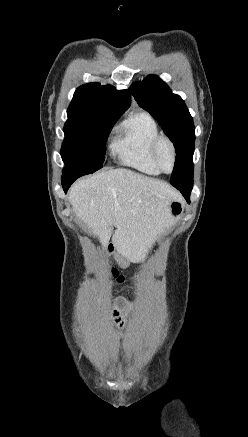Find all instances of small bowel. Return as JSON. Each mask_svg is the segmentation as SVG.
<instances>
[{
    "label": "small bowel",
    "instance_id": "1",
    "mask_svg": "<svg viewBox=\"0 0 248 437\" xmlns=\"http://www.w3.org/2000/svg\"><path fill=\"white\" fill-rule=\"evenodd\" d=\"M115 301H116V308H119L116 311V314L119 317H122L125 314V311L122 309V307H125L127 305V300L124 298L122 294H117L115 296ZM109 312H114V307H109ZM119 321L120 320H117V322Z\"/></svg>",
    "mask_w": 248,
    "mask_h": 437
}]
</instances>
